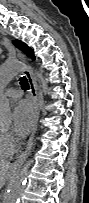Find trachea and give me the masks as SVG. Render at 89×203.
<instances>
[{
	"instance_id": "obj_1",
	"label": "trachea",
	"mask_w": 89,
	"mask_h": 203,
	"mask_svg": "<svg viewBox=\"0 0 89 203\" xmlns=\"http://www.w3.org/2000/svg\"><path fill=\"white\" fill-rule=\"evenodd\" d=\"M20 86L22 89L28 90L30 88L29 83L25 76L20 78Z\"/></svg>"
}]
</instances>
